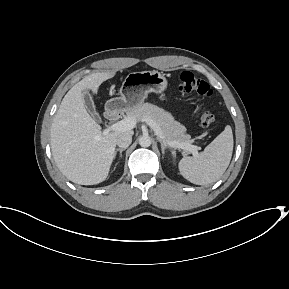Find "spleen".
Listing matches in <instances>:
<instances>
[{"mask_svg":"<svg viewBox=\"0 0 289 289\" xmlns=\"http://www.w3.org/2000/svg\"><path fill=\"white\" fill-rule=\"evenodd\" d=\"M233 152V133L229 125L198 156L184 157L179 163L181 175L197 185L217 181L229 166Z\"/></svg>","mask_w":289,"mask_h":289,"instance_id":"3e777b00","label":"spleen"}]
</instances>
